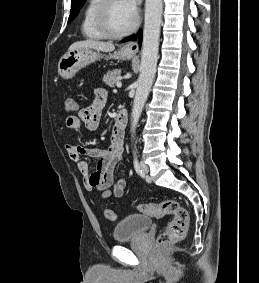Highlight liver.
<instances>
[{
	"mask_svg": "<svg viewBox=\"0 0 259 283\" xmlns=\"http://www.w3.org/2000/svg\"><path fill=\"white\" fill-rule=\"evenodd\" d=\"M79 48H89V49H94L97 51L110 52L115 49V46L110 42H103V41H96L93 39H88V40L78 41V42L73 43L69 47L68 51H73Z\"/></svg>",
	"mask_w": 259,
	"mask_h": 283,
	"instance_id": "6515ba94",
	"label": "liver"
}]
</instances>
